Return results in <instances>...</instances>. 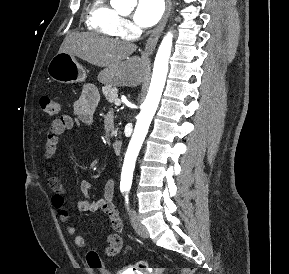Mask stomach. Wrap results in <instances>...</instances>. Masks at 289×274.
<instances>
[{
  "label": "stomach",
  "mask_w": 289,
  "mask_h": 274,
  "mask_svg": "<svg viewBox=\"0 0 289 274\" xmlns=\"http://www.w3.org/2000/svg\"><path fill=\"white\" fill-rule=\"evenodd\" d=\"M47 73L52 80L65 84L83 82L86 79V72L75 56L66 52H59L50 60Z\"/></svg>",
  "instance_id": "obj_1"
}]
</instances>
